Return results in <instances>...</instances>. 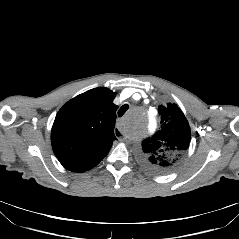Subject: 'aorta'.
<instances>
[{"instance_id": "aorta-1", "label": "aorta", "mask_w": 239, "mask_h": 239, "mask_svg": "<svg viewBox=\"0 0 239 239\" xmlns=\"http://www.w3.org/2000/svg\"><path fill=\"white\" fill-rule=\"evenodd\" d=\"M156 119V114H153L150 110L136 112L125 120L124 130L130 136L138 134L144 127L154 124Z\"/></svg>"}]
</instances>
